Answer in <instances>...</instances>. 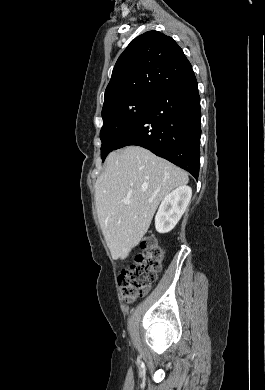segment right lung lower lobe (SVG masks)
I'll return each instance as SVG.
<instances>
[{
	"label": "right lung lower lobe",
	"instance_id": "right-lung-lower-lobe-1",
	"mask_svg": "<svg viewBox=\"0 0 265 390\" xmlns=\"http://www.w3.org/2000/svg\"><path fill=\"white\" fill-rule=\"evenodd\" d=\"M201 111L192 67L156 95L119 140L115 149L144 147L198 179Z\"/></svg>",
	"mask_w": 265,
	"mask_h": 390
}]
</instances>
